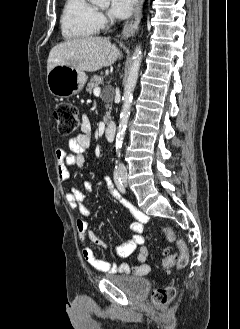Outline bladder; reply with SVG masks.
Returning a JSON list of instances; mask_svg holds the SVG:
<instances>
[{"instance_id":"obj_1","label":"bladder","mask_w":240,"mask_h":329,"mask_svg":"<svg viewBox=\"0 0 240 329\" xmlns=\"http://www.w3.org/2000/svg\"><path fill=\"white\" fill-rule=\"evenodd\" d=\"M109 279L113 284L133 296L144 295L150 289L149 280L144 277L121 275L111 276Z\"/></svg>"}]
</instances>
